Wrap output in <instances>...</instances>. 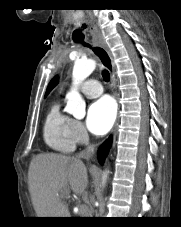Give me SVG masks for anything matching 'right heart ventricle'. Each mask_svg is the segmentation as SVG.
Returning <instances> with one entry per match:
<instances>
[{
  "label": "right heart ventricle",
  "instance_id": "e07e8e85",
  "mask_svg": "<svg viewBox=\"0 0 181 227\" xmlns=\"http://www.w3.org/2000/svg\"><path fill=\"white\" fill-rule=\"evenodd\" d=\"M71 122L72 119L61 111L58 102L50 106L43 127V136L48 147L61 153H70L75 149Z\"/></svg>",
  "mask_w": 181,
  "mask_h": 227
}]
</instances>
